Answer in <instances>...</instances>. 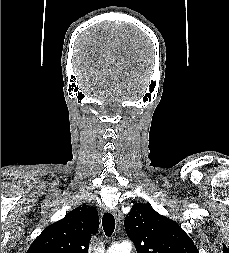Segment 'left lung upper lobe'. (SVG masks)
Wrapping results in <instances>:
<instances>
[{"mask_svg":"<svg viewBox=\"0 0 229 253\" xmlns=\"http://www.w3.org/2000/svg\"><path fill=\"white\" fill-rule=\"evenodd\" d=\"M124 225L137 253H199L181 226L157 213L150 204L135 203Z\"/></svg>","mask_w":229,"mask_h":253,"instance_id":"1","label":"left lung upper lobe"}]
</instances>
